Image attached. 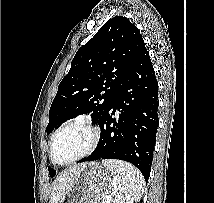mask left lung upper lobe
<instances>
[{"label": "left lung upper lobe", "instance_id": "1", "mask_svg": "<svg viewBox=\"0 0 214 203\" xmlns=\"http://www.w3.org/2000/svg\"><path fill=\"white\" fill-rule=\"evenodd\" d=\"M144 50L140 31L129 19L123 16L109 19L74 56L50 107L47 134L84 113H92L93 121L99 124ZM48 170L54 177L56 171Z\"/></svg>", "mask_w": 214, "mask_h": 203}]
</instances>
